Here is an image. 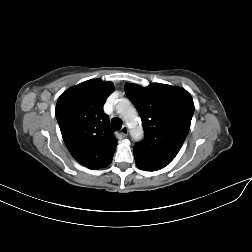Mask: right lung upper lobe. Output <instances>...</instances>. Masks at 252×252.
Segmentation results:
<instances>
[{"mask_svg": "<svg viewBox=\"0 0 252 252\" xmlns=\"http://www.w3.org/2000/svg\"><path fill=\"white\" fill-rule=\"evenodd\" d=\"M111 82L92 79L65 91L57 101L56 118L71 155L89 169L107 167L117 141L103 105L114 91Z\"/></svg>", "mask_w": 252, "mask_h": 252, "instance_id": "obj_1", "label": "right lung upper lobe"}]
</instances>
